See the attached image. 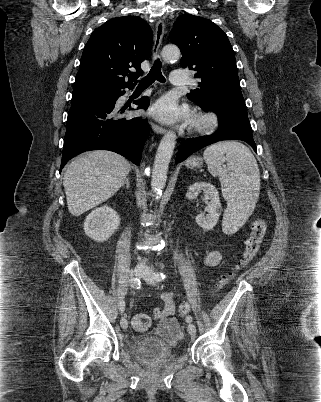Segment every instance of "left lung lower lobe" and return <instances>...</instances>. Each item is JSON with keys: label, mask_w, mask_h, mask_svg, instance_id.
Returning <instances> with one entry per match:
<instances>
[{"label": "left lung lower lobe", "mask_w": 321, "mask_h": 402, "mask_svg": "<svg viewBox=\"0 0 321 402\" xmlns=\"http://www.w3.org/2000/svg\"><path fill=\"white\" fill-rule=\"evenodd\" d=\"M208 109L217 113L219 130L212 135L186 139L177 153L176 163L203 147L223 140H242L256 151L244 98L220 99Z\"/></svg>", "instance_id": "0a47b994"}]
</instances>
